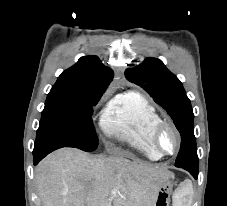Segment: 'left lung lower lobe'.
<instances>
[{"label":"left lung lower lobe","mask_w":227,"mask_h":206,"mask_svg":"<svg viewBox=\"0 0 227 206\" xmlns=\"http://www.w3.org/2000/svg\"><path fill=\"white\" fill-rule=\"evenodd\" d=\"M180 168H183L191 173V175L197 179L198 177V166H180Z\"/></svg>","instance_id":"1"}]
</instances>
